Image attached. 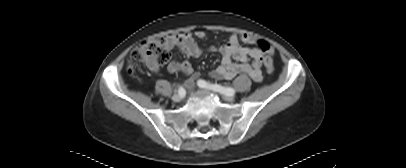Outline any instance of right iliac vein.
<instances>
[{"instance_id":"obj_1","label":"right iliac vein","mask_w":406,"mask_h":168,"mask_svg":"<svg viewBox=\"0 0 406 168\" xmlns=\"http://www.w3.org/2000/svg\"><path fill=\"white\" fill-rule=\"evenodd\" d=\"M172 100L174 102H180L182 100V96L180 94H175L173 95Z\"/></svg>"}]
</instances>
